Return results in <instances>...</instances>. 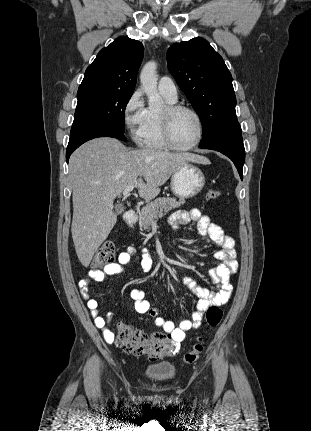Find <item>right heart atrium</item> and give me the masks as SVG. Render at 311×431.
I'll use <instances>...</instances> for the list:
<instances>
[{
    "label": "right heart atrium",
    "instance_id": "right-heart-atrium-1",
    "mask_svg": "<svg viewBox=\"0 0 311 431\" xmlns=\"http://www.w3.org/2000/svg\"><path fill=\"white\" fill-rule=\"evenodd\" d=\"M147 110L139 89L130 94L123 106L125 128L130 137L137 143H141L140 132L146 119Z\"/></svg>",
    "mask_w": 311,
    "mask_h": 431
}]
</instances>
